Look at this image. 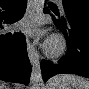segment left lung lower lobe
<instances>
[{
    "label": "left lung lower lobe",
    "instance_id": "left-lung-lower-lobe-1",
    "mask_svg": "<svg viewBox=\"0 0 89 89\" xmlns=\"http://www.w3.org/2000/svg\"><path fill=\"white\" fill-rule=\"evenodd\" d=\"M45 13L49 14V9H45ZM53 20L63 32L69 51L56 64L42 60L44 82L57 74H77L89 78V11H65L64 17H53Z\"/></svg>",
    "mask_w": 89,
    "mask_h": 89
}]
</instances>
